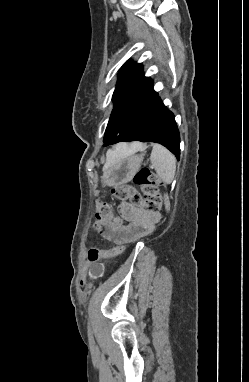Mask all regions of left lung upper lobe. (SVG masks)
<instances>
[{"label":"left lung upper lobe","instance_id":"5c2ea615","mask_svg":"<svg viewBox=\"0 0 249 382\" xmlns=\"http://www.w3.org/2000/svg\"><path fill=\"white\" fill-rule=\"evenodd\" d=\"M157 95L152 80L144 76L141 64L127 61L120 69L113 93L114 108L105 131L104 146L132 127Z\"/></svg>","mask_w":249,"mask_h":382}]
</instances>
